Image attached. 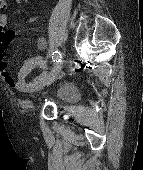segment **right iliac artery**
Instances as JSON below:
<instances>
[{
    "label": "right iliac artery",
    "mask_w": 143,
    "mask_h": 170,
    "mask_svg": "<svg viewBox=\"0 0 143 170\" xmlns=\"http://www.w3.org/2000/svg\"><path fill=\"white\" fill-rule=\"evenodd\" d=\"M51 57L54 63H58L61 61L62 55L59 51H55L52 53Z\"/></svg>",
    "instance_id": "right-iliac-artery-1"
}]
</instances>
